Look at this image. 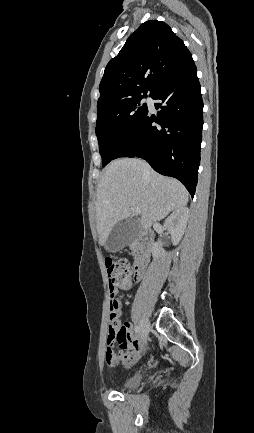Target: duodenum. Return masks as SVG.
Here are the masks:
<instances>
[{"mask_svg": "<svg viewBox=\"0 0 254 433\" xmlns=\"http://www.w3.org/2000/svg\"><path fill=\"white\" fill-rule=\"evenodd\" d=\"M154 241V233L151 231L145 232L136 242L132 244V248L136 253L133 273L135 279H141L147 269L151 246Z\"/></svg>", "mask_w": 254, "mask_h": 433, "instance_id": "duodenum-1", "label": "duodenum"}]
</instances>
